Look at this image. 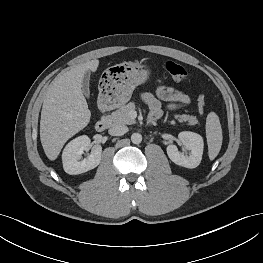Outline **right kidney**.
Returning a JSON list of instances; mask_svg holds the SVG:
<instances>
[{
	"label": "right kidney",
	"instance_id": "ca27d5eb",
	"mask_svg": "<svg viewBox=\"0 0 263 263\" xmlns=\"http://www.w3.org/2000/svg\"><path fill=\"white\" fill-rule=\"evenodd\" d=\"M90 145V138L86 135L77 137L70 141L62 154L63 168L70 175H77L97 167L101 162L102 147L94 146L91 154L81 160L84 150Z\"/></svg>",
	"mask_w": 263,
	"mask_h": 263
}]
</instances>
